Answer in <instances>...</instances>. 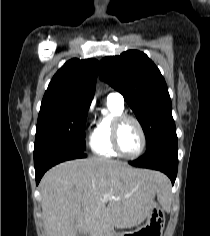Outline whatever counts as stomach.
I'll use <instances>...</instances> for the list:
<instances>
[{
    "instance_id": "stomach-1",
    "label": "stomach",
    "mask_w": 210,
    "mask_h": 236,
    "mask_svg": "<svg viewBox=\"0 0 210 236\" xmlns=\"http://www.w3.org/2000/svg\"><path fill=\"white\" fill-rule=\"evenodd\" d=\"M165 225L164 212L160 205L153 200L145 224L135 231L119 236H162Z\"/></svg>"
}]
</instances>
